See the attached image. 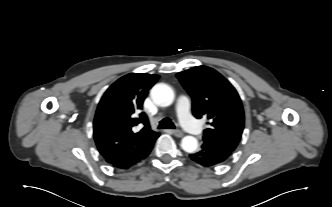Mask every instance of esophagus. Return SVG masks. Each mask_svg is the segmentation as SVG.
<instances>
[{
	"instance_id": "esophagus-1",
	"label": "esophagus",
	"mask_w": 332,
	"mask_h": 207,
	"mask_svg": "<svg viewBox=\"0 0 332 207\" xmlns=\"http://www.w3.org/2000/svg\"><path fill=\"white\" fill-rule=\"evenodd\" d=\"M172 133L174 134V136H176L178 138H181L184 135L183 132L178 129L172 130Z\"/></svg>"
}]
</instances>
